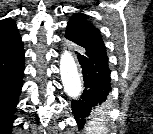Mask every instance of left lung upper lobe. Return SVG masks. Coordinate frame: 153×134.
<instances>
[{
    "mask_svg": "<svg viewBox=\"0 0 153 134\" xmlns=\"http://www.w3.org/2000/svg\"><path fill=\"white\" fill-rule=\"evenodd\" d=\"M65 37L85 51L107 58L100 31L82 13H75L67 24Z\"/></svg>",
    "mask_w": 153,
    "mask_h": 134,
    "instance_id": "5c2ea615",
    "label": "left lung upper lobe"
}]
</instances>
